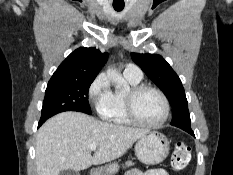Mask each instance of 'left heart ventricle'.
<instances>
[{
  "mask_svg": "<svg viewBox=\"0 0 233 175\" xmlns=\"http://www.w3.org/2000/svg\"><path fill=\"white\" fill-rule=\"evenodd\" d=\"M135 109L138 118L145 123H156L164 114L162 99L152 90H145L137 97Z\"/></svg>",
  "mask_w": 233,
  "mask_h": 175,
  "instance_id": "b2bd125f",
  "label": "left heart ventricle"
}]
</instances>
